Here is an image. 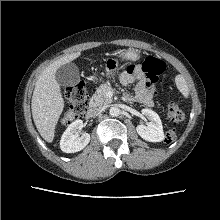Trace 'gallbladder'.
<instances>
[{"mask_svg":"<svg viewBox=\"0 0 220 220\" xmlns=\"http://www.w3.org/2000/svg\"><path fill=\"white\" fill-rule=\"evenodd\" d=\"M56 81L59 85L75 87L79 81V70L74 63H67L60 66L55 73Z\"/></svg>","mask_w":220,"mask_h":220,"instance_id":"bac80fb5","label":"gallbladder"}]
</instances>
